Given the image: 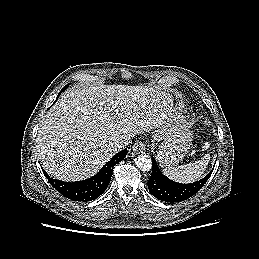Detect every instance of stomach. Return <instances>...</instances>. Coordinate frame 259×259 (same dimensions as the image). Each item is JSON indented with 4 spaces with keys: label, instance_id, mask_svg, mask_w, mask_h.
Listing matches in <instances>:
<instances>
[{
    "label": "stomach",
    "instance_id": "0dacf381",
    "mask_svg": "<svg viewBox=\"0 0 259 259\" xmlns=\"http://www.w3.org/2000/svg\"><path fill=\"white\" fill-rule=\"evenodd\" d=\"M192 137V133L183 127L169 130L165 135V141L158 146L159 164L162 167L177 165L190 149Z\"/></svg>",
    "mask_w": 259,
    "mask_h": 259
}]
</instances>
